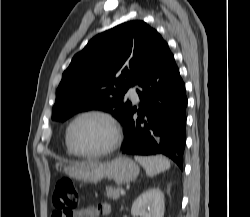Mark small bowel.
I'll list each match as a JSON object with an SVG mask.
<instances>
[{"label":"small bowel","mask_w":250,"mask_h":217,"mask_svg":"<svg viewBox=\"0 0 250 217\" xmlns=\"http://www.w3.org/2000/svg\"><path fill=\"white\" fill-rule=\"evenodd\" d=\"M111 212V206L108 203H100L97 206H85L73 213L72 217H99L107 216Z\"/></svg>","instance_id":"c3829d8e"}]
</instances>
